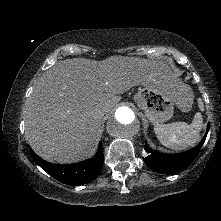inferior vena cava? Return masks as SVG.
Returning <instances> with one entry per match:
<instances>
[{
    "label": "inferior vena cava",
    "instance_id": "602c4592",
    "mask_svg": "<svg viewBox=\"0 0 221 221\" xmlns=\"http://www.w3.org/2000/svg\"><path fill=\"white\" fill-rule=\"evenodd\" d=\"M106 112H107L106 108H102L97 112V116L102 118Z\"/></svg>",
    "mask_w": 221,
    "mask_h": 221
}]
</instances>
